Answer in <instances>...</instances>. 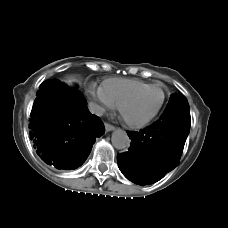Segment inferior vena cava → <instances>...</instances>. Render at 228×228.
I'll use <instances>...</instances> for the list:
<instances>
[{"label": "inferior vena cava", "mask_w": 228, "mask_h": 228, "mask_svg": "<svg viewBox=\"0 0 228 228\" xmlns=\"http://www.w3.org/2000/svg\"><path fill=\"white\" fill-rule=\"evenodd\" d=\"M88 109L92 114L97 116H102L104 114L105 109L94 102H89Z\"/></svg>", "instance_id": "602c4592"}]
</instances>
